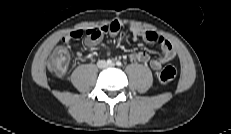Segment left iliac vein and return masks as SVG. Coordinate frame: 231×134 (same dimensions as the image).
<instances>
[{
    "mask_svg": "<svg viewBox=\"0 0 231 134\" xmlns=\"http://www.w3.org/2000/svg\"><path fill=\"white\" fill-rule=\"evenodd\" d=\"M115 64L114 63H112V64H109L108 65V67H113Z\"/></svg>",
    "mask_w": 231,
    "mask_h": 134,
    "instance_id": "4c4485c4",
    "label": "left iliac vein"
}]
</instances>
